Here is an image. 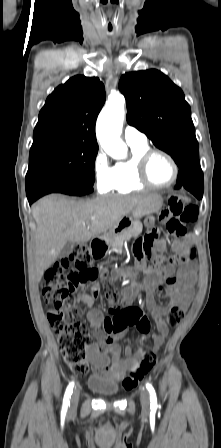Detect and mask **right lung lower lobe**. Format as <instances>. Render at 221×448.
Returning a JSON list of instances; mask_svg holds the SVG:
<instances>
[{"instance_id":"obj_1","label":"right lung lower lobe","mask_w":221,"mask_h":448,"mask_svg":"<svg viewBox=\"0 0 221 448\" xmlns=\"http://www.w3.org/2000/svg\"><path fill=\"white\" fill-rule=\"evenodd\" d=\"M92 191V186H75L50 177H37L26 180V194L30 205L38 198L49 193L57 192L82 196Z\"/></svg>"}]
</instances>
